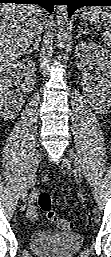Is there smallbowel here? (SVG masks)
<instances>
[{
	"mask_svg": "<svg viewBox=\"0 0 111 257\" xmlns=\"http://www.w3.org/2000/svg\"><path fill=\"white\" fill-rule=\"evenodd\" d=\"M45 180H46V178H45ZM27 215L30 218V220H32V221H35L38 218V214H37L34 206H32V205L29 206V208L27 210Z\"/></svg>",
	"mask_w": 111,
	"mask_h": 257,
	"instance_id": "c3829d8e",
	"label": "small bowel"
}]
</instances>
